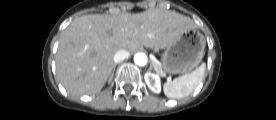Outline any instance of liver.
<instances>
[{"label":"liver","instance_id":"6515ba94","mask_svg":"<svg viewBox=\"0 0 276 120\" xmlns=\"http://www.w3.org/2000/svg\"><path fill=\"white\" fill-rule=\"evenodd\" d=\"M195 23L175 11L92 14L74 19L62 32L56 55L60 83L73 95H95L109 78L119 50L166 48Z\"/></svg>","mask_w":276,"mask_h":120}]
</instances>
